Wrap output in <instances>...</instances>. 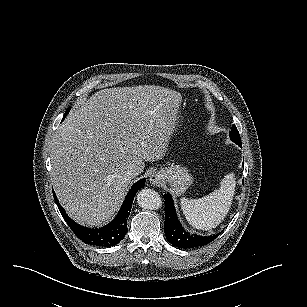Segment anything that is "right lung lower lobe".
<instances>
[{
    "mask_svg": "<svg viewBox=\"0 0 307 307\" xmlns=\"http://www.w3.org/2000/svg\"><path fill=\"white\" fill-rule=\"evenodd\" d=\"M146 179L143 178L136 182L128 192L125 201L115 219L103 228L89 229L83 227L72 219H70L64 211V208L59 204L56 195L54 198L61 215L72 229L74 234L78 236L84 243L96 246L111 247L118 244L126 235L127 232V218L131 211V205L135 193L145 185Z\"/></svg>",
    "mask_w": 307,
    "mask_h": 307,
    "instance_id": "98d812e1",
    "label": "right lung lower lobe"
}]
</instances>
